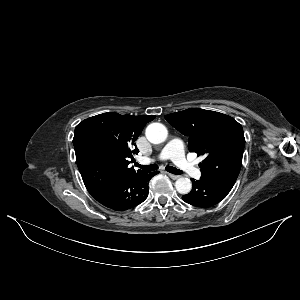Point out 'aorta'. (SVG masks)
I'll use <instances>...</instances> for the list:
<instances>
[{"label":"aorta","mask_w":300,"mask_h":300,"mask_svg":"<svg viewBox=\"0 0 300 300\" xmlns=\"http://www.w3.org/2000/svg\"><path fill=\"white\" fill-rule=\"evenodd\" d=\"M146 138L153 144H160L167 139V128L161 123H152L148 125L145 132ZM176 190L180 194H188L192 189L190 179L181 177L175 182Z\"/></svg>","instance_id":"obj_1"}]
</instances>
